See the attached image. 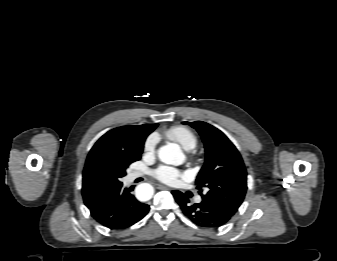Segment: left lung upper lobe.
I'll return each instance as SVG.
<instances>
[{
  "instance_id": "5c2ea615",
  "label": "left lung upper lobe",
  "mask_w": 337,
  "mask_h": 261,
  "mask_svg": "<svg viewBox=\"0 0 337 261\" xmlns=\"http://www.w3.org/2000/svg\"><path fill=\"white\" fill-rule=\"evenodd\" d=\"M195 128L205 145L206 158L196 184L207 187L202 200L233 216L243 202L247 189V172L236 147L223 132L203 121L183 122Z\"/></svg>"
}]
</instances>
